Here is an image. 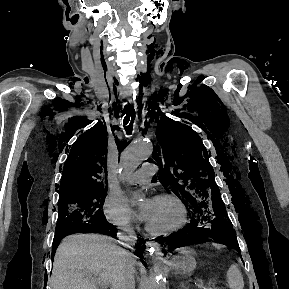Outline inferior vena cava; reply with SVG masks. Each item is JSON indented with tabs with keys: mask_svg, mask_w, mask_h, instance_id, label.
<instances>
[{
	"mask_svg": "<svg viewBox=\"0 0 289 289\" xmlns=\"http://www.w3.org/2000/svg\"><path fill=\"white\" fill-rule=\"evenodd\" d=\"M124 233H119V236L123 237L128 243L134 244L136 242V236L134 230L126 225L122 228ZM126 234V236H124ZM134 255L129 254V259L125 264L122 274L120 276V280L117 286V289H135V278H134Z\"/></svg>",
	"mask_w": 289,
	"mask_h": 289,
	"instance_id": "obj_1",
	"label": "inferior vena cava"
}]
</instances>
